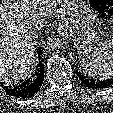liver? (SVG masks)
<instances>
[{
  "instance_id": "liver-1",
  "label": "liver",
  "mask_w": 113,
  "mask_h": 113,
  "mask_svg": "<svg viewBox=\"0 0 113 113\" xmlns=\"http://www.w3.org/2000/svg\"><path fill=\"white\" fill-rule=\"evenodd\" d=\"M71 11L69 0H0V82L18 85L33 71L35 22L48 12L63 18Z\"/></svg>"
}]
</instances>
